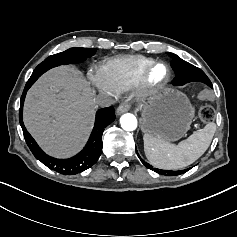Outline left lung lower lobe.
Here are the masks:
<instances>
[{
    "label": "left lung lower lobe",
    "mask_w": 237,
    "mask_h": 237,
    "mask_svg": "<svg viewBox=\"0 0 237 237\" xmlns=\"http://www.w3.org/2000/svg\"><path fill=\"white\" fill-rule=\"evenodd\" d=\"M189 169H190V168H189ZM189 169H188V170H189ZM186 171H187V170H184L182 173H185ZM182 173H180V174H182ZM178 175H179V174H178Z\"/></svg>",
    "instance_id": "1"
}]
</instances>
